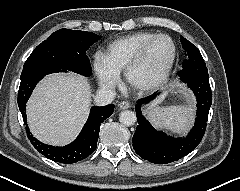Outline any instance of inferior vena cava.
Masks as SVG:
<instances>
[{
    "label": "inferior vena cava",
    "instance_id": "inferior-vena-cava-1",
    "mask_svg": "<svg viewBox=\"0 0 240 191\" xmlns=\"http://www.w3.org/2000/svg\"><path fill=\"white\" fill-rule=\"evenodd\" d=\"M115 97V93L110 89H100L95 96V104L97 106H105L110 104Z\"/></svg>",
    "mask_w": 240,
    "mask_h": 191
}]
</instances>
